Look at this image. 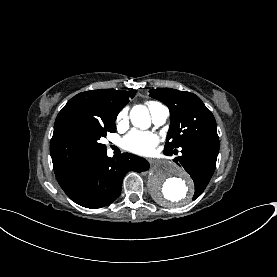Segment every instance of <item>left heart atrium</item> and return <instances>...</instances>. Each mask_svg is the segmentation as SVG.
<instances>
[{
  "label": "left heart atrium",
  "mask_w": 277,
  "mask_h": 277,
  "mask_svg": "<svg viewBox=\"0 0 277 277\" xmlns=\"http://www.w3.org/2000/svg\"><path fill=\"white\" fill-rule=\"evenodd\" d=\"M157 137L148 131H131L122 142V146L133 153L149 155L153 152Z\"/></svg>",
  "instance_id": "left-heart-atrium-1"
}]
</instances>
